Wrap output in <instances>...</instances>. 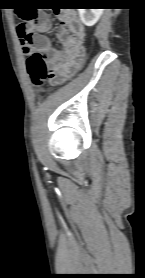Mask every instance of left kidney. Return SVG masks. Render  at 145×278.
Listing matches in <instances>:
<instances>
[{
	"label": "left kidney",
	"instance_id": "5707ae66",
	"mask_svg": "<svg viewBox=\"0 0 145 278\" xmlns=\"http://www.w3.org/2000/svg\"><path fill=\"white\" fill-rule=\"evenodd\" d=\"M82 22L88 26H93L103 13V9H78Z\"/></svg>",
	"mask_w": 145,
	"mask_h": 278
}]
</instances>
